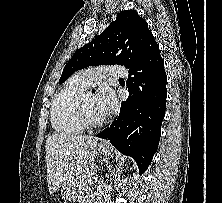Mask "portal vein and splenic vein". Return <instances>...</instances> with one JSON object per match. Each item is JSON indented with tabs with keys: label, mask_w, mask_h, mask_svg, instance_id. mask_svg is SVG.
Wrapping results in <instances>:
<instances>
[{
	"label": "portal vein and splenic vein",
	"mask_w": 222,
	"mask_h": 203,
	"mask_svg": "<svg viewBox=\"0 0 222 203\" xmlns=\"http://www.w3.org/2000/svg\"><path fill=\"white\" fill-rule=\"evenodd\" d=\"M93 180H96V178H94V179H90L89 182H93Z\"/></svg>",
	"instance_id": "portal-vein-and-splenic-vein-1"
}]
</instances>
